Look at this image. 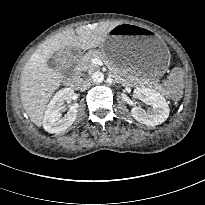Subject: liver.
Masks as SVG:
<instances>
[{
    "label": "liver",
    "instance_id": "obj_1",
    "mask_svg": "<svg viewBox=\"0 0 205 205\" xmlns=\"http://www.w3.org/2000/svg\"><path fill=\"white\" fill-rule=\"evenodd\" d=\"M115 22L81 26L66 30L46 40L32 54L25 64L20 78V97L30 120L42 125L46 105L62 81V74L47 65V60L57 51L65 48L88 50L105 42L109 32L117 26Z\"/></svg>",
    "mask_w": 205,
    "mask_h": 205
}]
</instances>
